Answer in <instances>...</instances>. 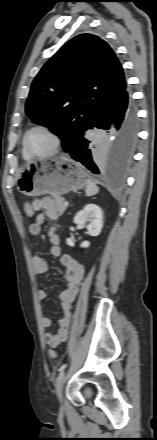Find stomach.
Segmentation results:
<instances>
[{"mask_svg": "<svg viewBox=\"0 0 157 440\" xmlns=\"http://www.w3.org/2000/svg\"><path fill=\"white\" fill-rule=\"evenodd\" d=\"M84 167L67 156H54L27 164L20 172L17 189L26 196H60L86 186Z\"/></svg>", "mask_w": 157, "mask_h": 440, "instance_id": "1", "label": "stomach"}]
</instances>
